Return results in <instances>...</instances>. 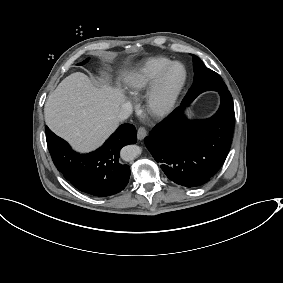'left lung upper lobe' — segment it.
<instances>
[{
    "mask_svg": "<svg viewBox=\"0 0 283 283\" xmlns=\"http://www.w3.org/2000/svg\"><path fill=\"white\" fill-rule=\"evenodd\" d=\"M194 81L185 100L195 99L200 93L207 90L227 89L222 78L216 72L208 69L204 63L193 55Z\"/></svg>",
    "mask_w": 283,
    "mask_h": 283,
    "instance_id": "1",
    "label": "left lung upper lobe"
}]
</instances>
